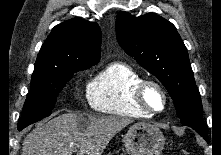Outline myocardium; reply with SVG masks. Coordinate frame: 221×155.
Wrapping results in <instances>:
<instances>
[{
  "label": "myocardium",
  "mask_w": 221,
  "mask_h": 155,
  "mask_svg": "<svg viewBox=\"0 0 221 155\" xmlns=\"http://www.w3.org/2000/svg\"><path fill=\"white\" fill-rule=\"evenodd\" d=\"M148 87H154L160 92L163 98V106L161 109L159 110L153 109L147 103L145 94ZM134 100L140 109L149 113L150 115H157L164 112L168 105V95L165 88L159 82L152 79H142L137 84L134 90Z\"/></svg>",
  "instance_id": "myocardium-1"
}]
</instances>
